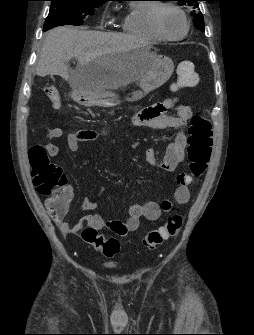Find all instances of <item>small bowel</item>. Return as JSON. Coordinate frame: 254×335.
Instances as JSON below:
<instances>
[{"label":"small bowel","instance_id":"c3829d8e","mask_svg":"<svg viewBox=\"0 0 254 335\" xmlns=\"http://www.w3.org/2000/svg\"><path fill=\"white\" fill-rule=\"evenodd\" d=\"M171 108H175L176 114L173 115L167 112ZM191 115L192 111L188 105L178 103L177 98L172 97L143 109L134 118V122L137 125H147L155 129L173 128L178 130L174 141L167 146L161 162L162 169L167 172H175L184 160L186 148L184 129ZM62 136L63 130L59 127H54L49 131L50 139H60ZM97 136L95 131L88 129L71 132L67 136L68 149L71 152H75L79 149L82 142L93 141ZM46 150L50 157L58 154V147L54 143H48ZM145 160L149 165L156 164V153L153 148L146 149ZM176 180L178 185L174 191L173 199L177 204L184 205L190 200L189 185L192 180L186 173H179ZM64 194L69 198V201L73 198V192L69 187L65 189ZM48 200L46 201V205ZM171 207L172 202L170 200H164L161 203L152 201L143 204L133 203L129 207V216L126 221L115 219L105 220L100 214L93 213L86 215L75 225H71L64 220L66 208L63 212L50 211V215L59 230L65 235L77 234L85 226H88L95 230H108L118 236H126L138 230L141 218L156 221L163 212L170 211ZM97 208L98 205L96 202L88 197L84 198L82 203L83 210L94 211Z\"/></svg>","mask_w":254,"mask_h":335}]
</instances>
